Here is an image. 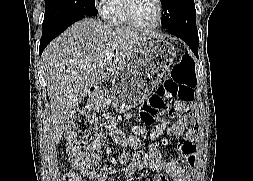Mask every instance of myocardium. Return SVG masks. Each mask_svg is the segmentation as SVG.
<instances>
[{
    "label": "myocardium",
    "mask_w": 253,
    "mask_h": 181,
    "mask_svg": "<svg viewBox=\"0 0 253 181\" xmlns=\"http://www.w3.org/2000/svg\"><path fill=\"white\" fill-rule=\"evenodd\" d=\"M158 5V14L156 21L150 25L140 23L134 16L133 13V0H123V10L128 23L136 28L144 30H153L160 26L163 18V2L162 0H156Z\"/></svg>",
    "instance_id": "obj_1"
}]
</instances>
